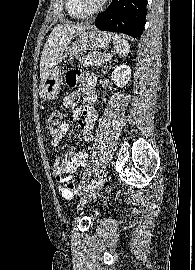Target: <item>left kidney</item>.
<instances>
[{"instance_id":"left-kidney-1","label":"left kidney","mask_w":195,"mask_h":270,"mask_svg":"<svg viewBox=\"0 0 195 270\" xmlns=\"http://www.w3.org/2000/svg\"><path fill=\"white\" fill-rule=\"evenodd\" d=\"M131 77V69L127 65L117 66L112 72V81L120 88L124 87Z\"/></svg>"}]
</instances>
